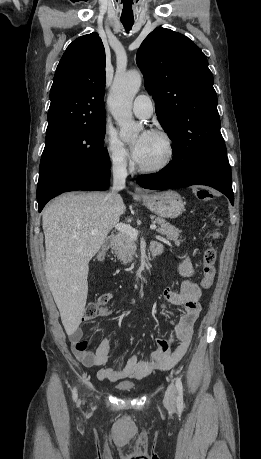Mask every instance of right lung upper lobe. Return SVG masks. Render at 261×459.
<instances>
[{"label":"right lung upper lobe","mask_w":261,"mask_h":459,"mask_svg":"<svg viewBox=\"0 0 261 459\" xmlns=\"http://www.w3.org/2000/svg\"><path fill=\"white\" fill-rule=\"evenodd\" d=\"M104 92L105 50L91 33L73 41L57 66L46 133L106 120Z\"/></svg>","instance_id":"obj_1"}]
</instances>
